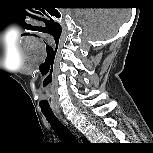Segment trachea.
Segmentation results:
<instances>
[{"label": "trachea", "mask_w": 153, "mask_h": 153, "mask_svg": "<svg viewBox=\"0 0 153 153\" xmlns=\"http://www.w3.org/2000/svg\"><path fill=\"white\" fill-rule=\"evenodd\" d=\"M44 116L50 123L51 127L54 129L55 133L58 135L59 139L66 144H77L78 141L71 131L65 127L54 115L53 112H44Z\"/></svg>", "instance_id": "trachea-1"}]
</instances>
